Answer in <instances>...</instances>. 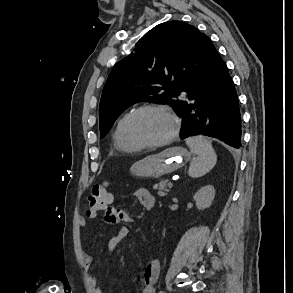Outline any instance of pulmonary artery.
I'll list each match as a JSON object with an SVG mask.
<instances>
[{"mask_svg": "<svg viewBox=\"0 0 293 293\" xmlns=\"http://www.w3.org/2000/svg\"><path fill=\"white\" fill-rule=\"evenodd\" d=\"M185 95V93H182V96H184Z\"/></svg>", "mask_w": 293, "mask_h": 293, "instance_id": "pulmonary-artery-1", "label": "pulmonary artery"}]
</instances>
